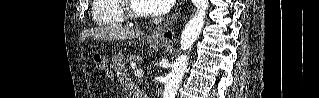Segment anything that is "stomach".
I'll return each instance as SVG.
<instances>
[{"mask_svg": "<svg viewBox=\"0 0 319 98\" xmlns=\"http://www.w3.org/2000/svg\"><path fill=\"white\" fill-rule=\"evenodd\" d=\"M154 44H156V45H163V44H164V41H163V40H155V41H154Z\"/></svg>", "mask_w": 319, "mask_h": 98, "instance_id": "stomach-1", "label": "stomach"}]
</instances>
